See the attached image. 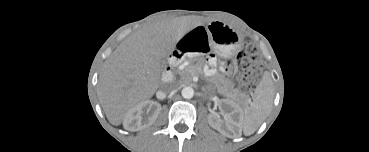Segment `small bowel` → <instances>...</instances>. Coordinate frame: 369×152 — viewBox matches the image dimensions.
I'll return each mask as SVG.
<instances>
[{
    "label": "small bowel",
    "mask_w": 369,
    "mask_h": 152,
    "mask_svg": "<svg viewBox=\"0 0 369 152\" xmlns=\"http://www.w3.org/2000/svg\"><path fill=\"white\" fill-rule=\"evenodd\" d=\"M208 72H209V73H211L212 71H211V70H209Z\"/></svg>",
    "instance_id": "1"
}]
</instances>
